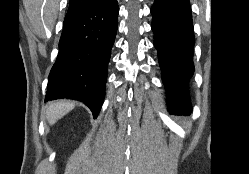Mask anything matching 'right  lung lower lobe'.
<instances>
[{"instance_id": "98d812e1", "label": "right lung lower lobe", "mask_w": 249, "mask_h": 174, "mask_svg": "<svg viewBox=\"0 0 249 174\" xmlns=\"http://www.w3.org/2000/svg\"><path fill=\"white\" fill-rule=\"evenodd\" d=\"M118 13L117 0H103L66 14L45 101L77 99L91 109L94 118L98 116Z\"/></svg>"}]
</instances>
